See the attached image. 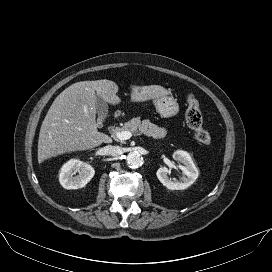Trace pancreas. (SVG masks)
I'll return each mask as SVG.
<instances>
[{
	"mask_svg": "<svg viewBox=\"0 0 272 272\" xmlns=\"http://www.w3.org/2000/svg\"><path fill=\"white\" fill-rule=\"evenodd\" d=\"M115 131L140 132L154 139H161L167 135L166 128L159 127L149 122V120L141 121L139 117L131 119L129 122H126L122 128H117Z\"/></svg>",
	"mask_w": 272,
	"mask_h": 272,
	"instance_id": "cf45deb5",
	"label": "pancreas"
}]
</instances>
